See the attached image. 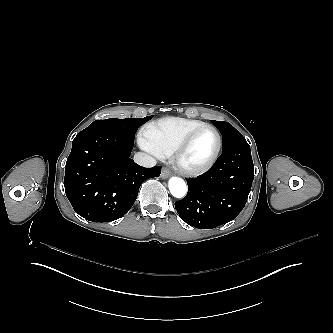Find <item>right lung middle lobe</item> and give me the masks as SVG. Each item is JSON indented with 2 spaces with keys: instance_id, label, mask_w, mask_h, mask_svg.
Here are the masks:
<instances>
[{
  "instance_id": "right-lung-middle-lobe-1",
  "label": "right lung middle lobe",
  "mask_w": 333,
  "mask_h": 333,
  "mask_svg": "<svg viewBox=\"0 0 333 333\" xmlns=\"http://www.w3.org/2000/svg\"><path fill=\"white\" fill-rule=\"evenodd\" d=\"M152 116H147L144 118H133V119H105L96 120L91 123L86 129L81 132H94L97 130H102L117 135H122L130 138H134V135L142 124L150 120Z\"/></svg>"
}]
</instances>
